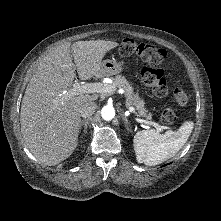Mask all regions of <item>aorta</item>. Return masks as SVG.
Here are the masks:
<instances>
[{
    "label": "aorta",
    "mask_w": 221,
    "mask_h": 221,
    "mask_svg": "<svg viewBox=\"0 0 221 221\" xmlns=\"http://www.w3.org/2000/svg\"><path fill=\"white\" fill-rule=\"evenodd\" d=\"M101 116L104 120H111L115 116V109L112 106L106 105L101 110Z\"/></svg>",
    "instance_id": "1"
}]
</instances>
